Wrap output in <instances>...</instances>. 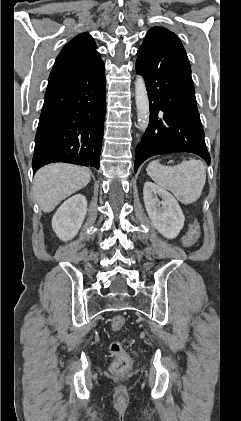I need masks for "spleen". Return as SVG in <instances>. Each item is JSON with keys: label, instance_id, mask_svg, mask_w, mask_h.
I'll use <instances>...</instances> for the list:
<instances>
[{"label": "spleen", "instance_id": "3e777b00", "mask_svg": "<svg viewBox=\"0 0 241 421\" xmlns=\"http://www.w3.org/2000/svg\"><path fill=\"white\" fill-rule=\"evenodd\" d=\"M147 174L160 187L169 190L183 204H192L201 196L206 181V167L201 160H183L175 166H163L159 160L146 168Z\"/></svg>", "mask_w": 241, "mask_h": 421}]
</instances>
